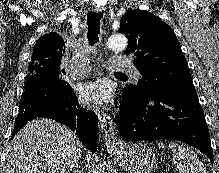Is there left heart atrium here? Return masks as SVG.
<instances>
[{"instance_id":"1","label":"left heart atrium","mask_w":219,"mask_h":173,"mask_svg":"<svg viewBox=\"0 0 219 173\" xmlns=\"http://www.w3.org/2000/svg\"><path fill=\"white\" fill-rule=\"evenodd\" d=\"M79 97L81 101L87 104L106 106L112 99V92L105 81L97 80L83 84L79 88Z\"/></svg>"}]
</instances>
